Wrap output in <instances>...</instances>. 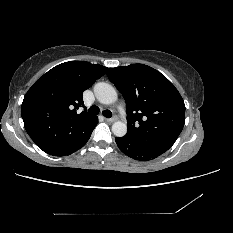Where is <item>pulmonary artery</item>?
Wrapping results in <instances>:
<instances>
[{
    "instance_id": "1",
    "label": "pulmonary artery",
    "mask_w": 233,
    "mask_h": 233,
    "mask_svg": "<svg viewBox=\"0 0 233 233\" xmlns=\"http://www.w3.org/2000/svg\"><path fill=\"white\" fill-rule=\"evenodd\" d=\"M119 109H121V106H119ZM129 121V119H125V122H128Z\"/></svg>"
}]
</instances>
